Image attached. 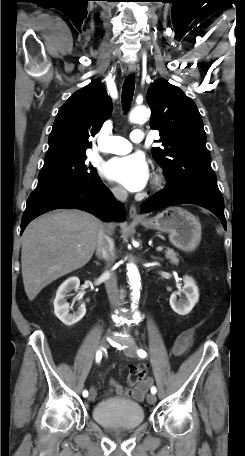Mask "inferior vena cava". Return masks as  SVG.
I'll use <instances>...</instances> for the list:
<instances>
[{
  "instance_id": "obj_1",
  "label": "inferior vena cava",
  "mask_w": 245,
  "mask_h": 456,
  "mask_svg": "<svg viewBox=\"0 0 245 456\" xmlns=\"http://www.w3.org/2000/svg\"><path fill=\"white\" fill-rule=\"evenodd\" d=\"M111 191L118 201L125 202L127 200L128 193L123 187H115ZM114 247L115 246L113 239L109 237L104 229H102L98 235L96 255L99 258L105 259L109 265H111V263L114 261ZM103 275L107 279L105 282V287L110 304L112 307H119L123 302V298L118 293L116 275L114 273L111 274L108 271H105Z\"/></svg>"
}]
</instances>
